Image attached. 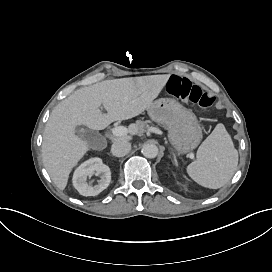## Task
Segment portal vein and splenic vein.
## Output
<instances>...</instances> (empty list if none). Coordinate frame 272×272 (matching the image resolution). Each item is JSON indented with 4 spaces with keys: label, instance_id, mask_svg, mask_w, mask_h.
Here are the masks:
<instances>
[{
    "label": "portal vein and splenic vein",
    "instance_id": "portal-vein-and-splenic-vein-1",
    "mask_svg": "<svg viewBox=\"0 0 272 272\" xmlns=\"http://www.w3.org/2000/svg\"><path fill=\"white\" fill-rule=\"evenodd\" d=\"M112 133L115 136H125L128 133V129L124 126H117L112 129Z\"/></svg>",
    "mask_w": 272,
    "mask_h": 272
}]
</instances>
